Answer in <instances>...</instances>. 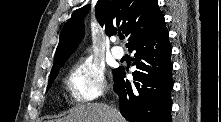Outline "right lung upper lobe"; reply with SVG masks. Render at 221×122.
<instances>
[{"mask_svg": "<svg viewBox=\"0 0 221 122\" xmlns=\"http://www.w3.org/2000/svg\"><path fill=\"white\" fill-rule=\"evenodd\" d=\"M88 9L89 6H84L74 11L63 27L51 73L58 71L77 48L84 34L83 18ZM96 18L107 35L123 31L128 36V48L164 21L157 0H98Z\"/></svg>", "mask_w": 221, "mask_h": 122, "instance_id": "1", "label": "right lung upper lobe"}]
</instances>
